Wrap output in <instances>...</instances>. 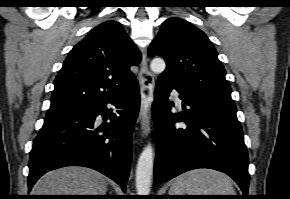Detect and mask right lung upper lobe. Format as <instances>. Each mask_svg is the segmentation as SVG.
I'll use <instances>...</instances> for the list:
<instances>
[{
	"instance_id": "obj_1",
	"label": "right lung upper lobe",
	"mask_w": 290,
	"mask_h": 199,
	"mask_svg": "<svg viewBox=\"0 0 290 199\" xmlns=\"http://www.w3.org/2000/svg\"><path fill=\"white\" fill-rule=\"evenodd\" d=\"M141 55L116 21H106L70 51L54 81L46 114L56 115L92 106L116 96L135 81L130 71Z\"/></svg>"
}]
</instances>
